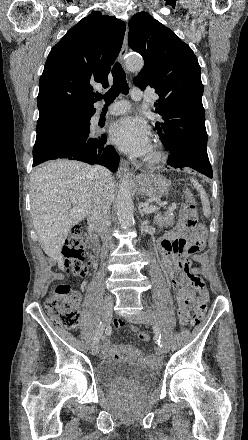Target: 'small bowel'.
<instances>
[{"mask_svg": "<svg viewBox=\"0 0 248 440\" xmlns=\"http://www.w3.org/2000/svg\"><path fill=\"white\" fill-rule=\"evenodd\" d=\"M205 238V228L190 222L187 211H183L182 219L178 225L159 242L162 266L176 295L178 303L176 316L179 317V324L182 327L190 322L189 310L195 302L189 290L191 278L200 272L199 268L191 266L189 257L193 255V260L196 262L203 260V256L198 252L203 248ZM124 324L121 320L116 322L115 329L123 328ZM131 329L133 332L137 331L135 326H132ZM102 357L104 359L130 357L152 366L159 365L158 358L145 356L131 346H113L109 340L104 342Z\"/></svg>", "mask_w": 248, "mask_h": 440, "instance_id": "obj_1", "label": "small bowel"}]
</instances>
